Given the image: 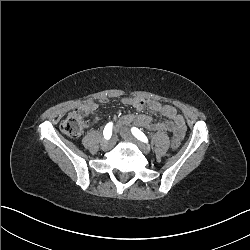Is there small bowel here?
Instances as JSON below:
<instances>
[{"label": "small bowel", "mask_w": 250, "mask_h": 250, "mask_svg": "<svg viewBox=\"0 0 250 250\" xmlns=\"http://www.w3.org/2000/svg\"><path fill=\"white\" fill-rule=\"evenodd\" d=\"M123 103L127 105H133V107L137 110H143L147 108L153 113H157L166 117V120L156 122L147 115L128 114L123 117V124L128 125L130 123H136L137 125L150 131H178L181 134L180 141L183 139L186 132V125L183 116L177 111L175 107L162 104L156 100L145 101L142 98H125ZM80 110L83 114L96 113L97 104L92 101H88L81 106Z\"/></svg>", "instance_id": "obj_1"}]
</instances>
